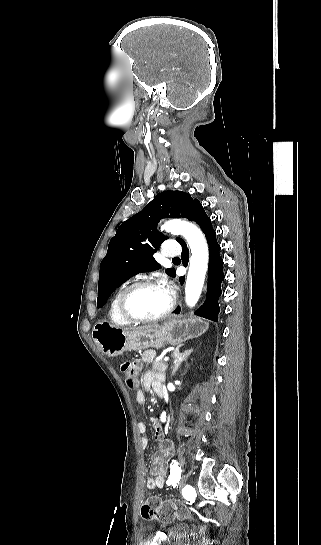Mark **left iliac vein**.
Listing matches in <instances>:
<instances>
[{
    "instance_id": "left-iliac-vein-1",
    "label": "left iliac vein",
    "mask_w": 321,
    "mask_h": 545,
    "mask_svg": "<svg viewBox=\"0 0 321 545\" xmlns=\"http://www.w3.org/2000/svg\"><path fill=\"white\" fill-rule=\"evenodd\" d=\"M188 481V476L186 474L182 475L181 479L178 482V488L181 490L183 489Z\"/></svg>"
}]
</instances>
